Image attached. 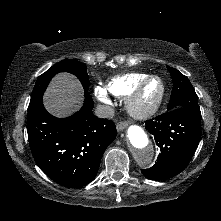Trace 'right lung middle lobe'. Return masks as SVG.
Segmentation results:
<instances>
[{
  "label": "right lung middle lobe",
  "mask_w": 221,
  "mask_h": 221,
  "mask_svg": "<svg viewBox=\"0 0 221 221\" xmlns=\"http://www.w3.org/2000/svg\"><path fill=\"white\" fill-rule=\"evenodd\" d=\"M62 71H66L77 76L83 85L84 91L88 92L90 82L88 79L86 66L74 59H65L53 65L38 78L32 92L28 110L31 109L42 98V95L52 77Z\"/></svg>",
  "instance_id": "1"
}]
</instances>
